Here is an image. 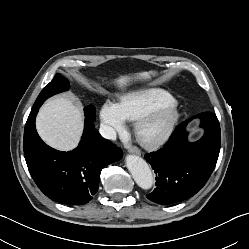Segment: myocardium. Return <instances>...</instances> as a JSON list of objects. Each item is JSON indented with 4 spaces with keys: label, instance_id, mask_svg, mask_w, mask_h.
Returning <instances> with one entry per match:
<instances>
[{
    "label": "myocardium",
    "instance_id": "obj_1",
    "mask_svg": "<svg viewBox=\"0 0 249 249\" xmlns=\"http://www.w3.org/2000/svg\"><path fill=\"white\" fill-rule=\"evenodd\" d=\"M178 118V103L175 100H171L151 108L138 117L135 122L134 131L137 138L144 144L156 145L169 136ZM157 119L161 120L160 124L153 130L147 132L146 126Z\"/></svg>",
    "mask_w": 249,
    "mask_h": 249
}]
</instances>
